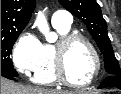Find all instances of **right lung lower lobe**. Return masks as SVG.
Returning a JSON list of instances; mask_svg holds the SVG:
<instances>
[{
	"label": "right lung lower lobe",
	"mask_w": 121,
	"mask_h": 94,
	"mask_svg": "<svg viewBox=\"0 0 121 94\" xmlns=\"http://www.w3.org/2000/svg\"><path fill=\"white\" fill-rule=\"evenodd\" d=\"M3 77L8 78V79H11V80H15V77H13V76H3Z\"/></svg>",
	"instance_id": "1"
}]
</instances>
